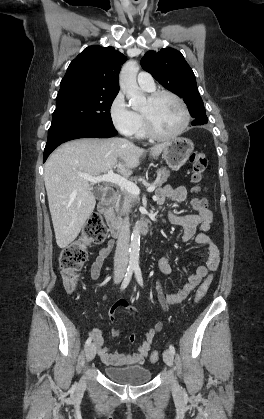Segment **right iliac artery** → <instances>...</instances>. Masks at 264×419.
Segmentation results:
<instances>
[{"label":"right iliac artery","instance_id":"1","mask_svg":"<svg viewBox=\"0 0 264 419\" xmlns=\"http://www.w3.org/2000/svg\"><path fill=\"white\" fill-rule=\"evenodd\" d=\"M133 271H134L133 267H128L127 272H126L125 277H124V280L121 284V290H124L128 286V284H129V282L132 278ZM91 340H92L91 337H89L86 340L85 347H88L91 344Z\"/></svg>","mask_w":264,"mask_h":419}]
</instances>
